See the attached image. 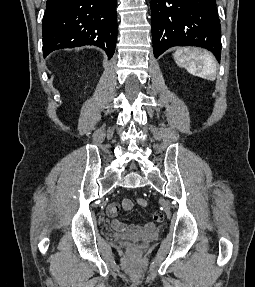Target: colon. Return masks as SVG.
<instances>
[{
    "label": "colon",
    "instance_id": "5ec220e1",
    "mask_svg": "<svg viewBox=\"0 0 255 287\" xmlns=\"http://www.w3.org/2000/svg\"><path fill=\"white\" fill-rule=\"evenodd\" d=\"M138 204H139L140 206L145 207V206H147V201H146L144 198H139V199H138Z\"/></svg>",
    "mask_w": 255,
    "mask_h": 287
}]
</instances>
